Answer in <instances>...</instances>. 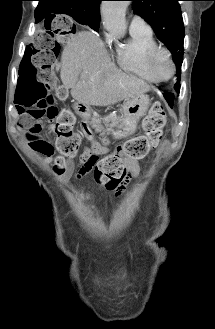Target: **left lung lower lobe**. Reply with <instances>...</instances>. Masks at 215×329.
I'll return each instance as SVG.
<instances>
[{
  "label": "left lung lower lobe",
  "instance_id": "0a47b994",
  "mask_svg": "<svg viewBox=\"0 0 215 329\" xmlns=\"http://www.w3.org/2000/svg\"><path fill=\"white\" fill-rule=\"evenodd\" d=\"M164 97L167 100L169 106L170 107H173L174 95L172 93H165L164 94Z\"/></svg>",
  "mask_w": 215,
  "mask_h": 329
}]
</instances>
